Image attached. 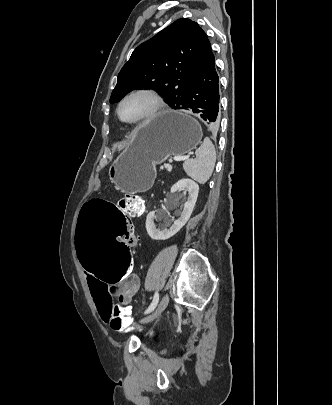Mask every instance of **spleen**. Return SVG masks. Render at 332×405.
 Returning <instances> with one entry per match:
<instances>
[{"instance_id": "1", "label": "spleen", "mask_w": 332, "mask_h": 405, "mask_svg": "<svg viewBox=\"0 0 332 405\" xmlns=\"http://www.w3.org/2000/svg\"><path fill=\"white\" fill-rule=\"evenodd\" d=\"M196 158L184 162L186 174L200 184H205L212 175L216 162V152L211 140L204 138L195 152Z\"/></svg>"}]
</instances>
